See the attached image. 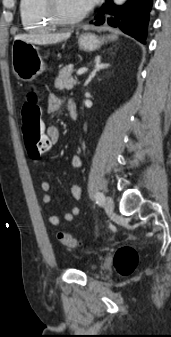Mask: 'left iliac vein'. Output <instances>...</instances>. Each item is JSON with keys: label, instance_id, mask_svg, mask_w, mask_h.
<instances>
[{"label": "left iliac vein", "instance_id": "obj_1", "mask_svg": "<svg viewBox=\"0 0 171 337\" xmlns=\"http://www.w3.org/2000/svg\"><path fill=\"white\" fill-rule=\"evenodd\" d=\"M104 208L107 212H112L114 210V201L111 197H106L104 200Z\"/></svg>", "mask_w": 171, "mask_h": 337}]
</instances>
